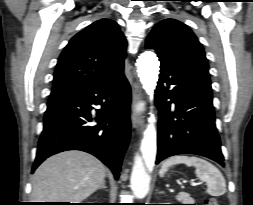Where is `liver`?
Listing matches in <instances>:
<instances>
[{
	"instance_id": "1",
	"label": "liver",
	"mask_w": 253,
	"mask_h": 205,
	"mask_svg": "<svg viewBox=\"0 0 253 205\" xmlns=\"http://www.w3.org/2000/svg\"><path fill=\"white\" fill-rule=\"evenodd\" d=\"M106 168L94 156L66 151L45 160L32 177L34 202L80 203L103 183Z\"/></svg>"
}]
</instances>
